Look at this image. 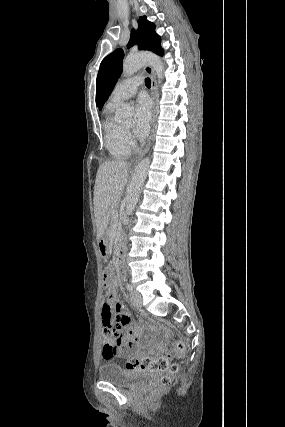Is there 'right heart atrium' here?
Listing matches in <instances>:
<instances>
[{
    "instance_id": "obj_1",
    "label": "right heart atrium",
    "mask_w": 285,
    "mask_h": 427,
    "mask_svg": "<svg viewBox=\"0 0 285 427\" xmlns=\"http://www.w3.org/2000/svg\"><path fill=\"white\" fill-rule=\"evenodd\" d=\"M126 137H127L128 142L133 146L134 145V138H133L132 134L130 132H127Z\"/></svg>"
}]
</instances>
